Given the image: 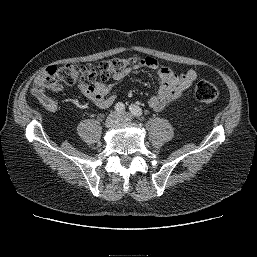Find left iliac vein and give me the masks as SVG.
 <instances>
[{"mask_svg":"<svg viewBox=\"0 0 257 257\" xmlns=\"http://www.w3.org/2000/svg\"><path fill=\"white\" fill-rule=\"evenodd\" d=\"M119 116H120L121 122H131L132 121V116L127 112H123Z\"/></svg>","mask_w":257,"mask_h":257,"instance_id":"1","label":"left iliac vein"}]
</instances>
